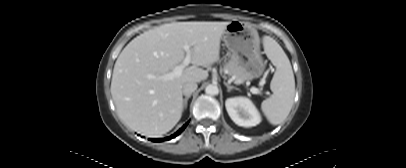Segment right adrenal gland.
<instances>
[{
  "instance_id": "obj_1",
  "label": "right adrenal gland",
  "mask_w": 406,
  "mask_h": 168,
  "mask_svg": "<svg viewBox=\"0 0 406 168\" xmlns=\"http://www.w3.org/2000/svg\"><path fill=\"white\" fill-rule=\"evenodd\" d=\"M191 97V95H188L184 98L183 100V108L186 109L187 108V102L189 100V98Z\"/></svg>"
}]
</instances>
